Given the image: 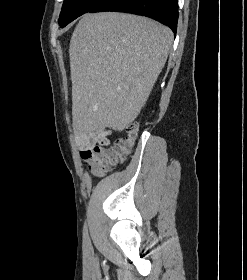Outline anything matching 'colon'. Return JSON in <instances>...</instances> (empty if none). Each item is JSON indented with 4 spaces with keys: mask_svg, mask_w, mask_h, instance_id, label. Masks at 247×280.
Wrapping results in <instances>:
<instances>
[{
    "mask_svg": "<svg viewBox=\"0 0 247 280\" xmlns=\"http://www.w3.org/2000/svg\"><path fill=\"white\" fill-rule=\"evenodd\" d=\"M138 126L131 123L127 127V137L115 139L110 145L96 146L83 158L91 171L97 175L106 173L109 168L122 160L129 152L137 136Z\"/></svg>",
    "mask_w": 247,
    "mask_h": 280,
    "instance_id": "5ec220e1",
    "label": "colon"
}]
</instances>
